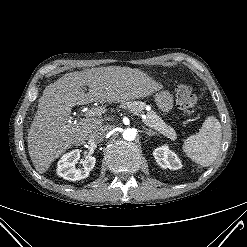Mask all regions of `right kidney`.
Returning <instances> with one entry per match:
<instances>
[{
	"instance_id": "1",
	"label": "right kidney",
	"mask_w": 247,
	"mask_h": 247,
	"mask_svg": "<svg viewBox=\"0 0 247 247\" xmlns=\"http://www.w3.org/2000/svg\"><path fill=\"white\" fill-rule=\"evenodd\" d=\"M80 159V151L72 150L64 154L58 161L57 174L69 181L85 179L89 176L90 171L94 168L96 158L86 155L83 161L82 169L75 168V164Z\"/></svg>"
}]
</instances>
